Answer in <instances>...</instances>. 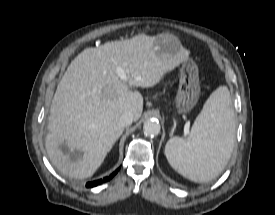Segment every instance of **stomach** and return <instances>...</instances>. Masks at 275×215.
<instances>
[{"label": "stomach", "instance_id": "obj_1", "mask_svg": "<svg viewBox=\"0 0 275 215\" xmlns=\"http://www.w3.org/2000/svg\"><path fill=\"white\" fill-rule=\"evenodd\" d=\"M182 48L178 38L170 33L157 35L154 49L159 56H175ZM200 96L198 66L192 60L184 61L180 70V80L175 107L179 114L192 111Z\"/></svg>", "mask_w": 275, "mask_h": 215}]
</instances>
